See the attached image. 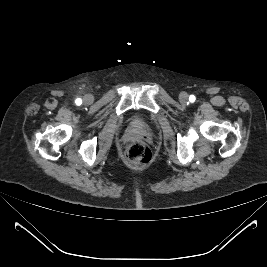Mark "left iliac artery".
<instances>
[{
	"instance_id": "1",
	"label": "left iliac artery",
	"mask_w": 267,
	"mask_h": 267,
	"mask_svg": "<svg viewBox=\"0 0 267 267\" xmlns=\"http://www.w3.org/2000/svg\"><path fill=\"white\" fill-rule=\"evenodd\" d=\"M189 101H190V102H194V101H195V96H194V95H191V96L189 97Z\"/></svg>"
}]
</instances>
